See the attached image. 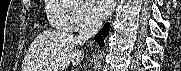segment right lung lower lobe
<instances>
[{
  "label": "right lung lower lobe",
  "instance_id": "1",
  "mask_svg": "<svg viewBox=\"0 0 181 71\" xmlns=\"http://www.w3.org/2000/svg\"><path fill=\"white\" fill-rule=\"evenodd\" d=\"M110 30V24L106 23L103 28L96 34L95 41L100 45L104 46V39L108 35Z\"/></svg>",
  "mask_w": 181,
  "mask_h": 71
}]
</instances>
